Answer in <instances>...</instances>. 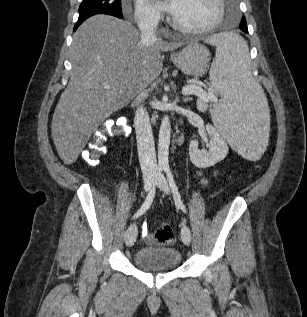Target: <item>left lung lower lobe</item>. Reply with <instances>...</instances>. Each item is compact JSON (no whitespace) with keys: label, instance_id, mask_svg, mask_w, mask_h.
Instances as JSON below:
<instances>
[{"label":"left lung lower lobe","instance_id":"obj_1","mask_svg":"<svg viewBox=\"0 0 307 317\" xmlns=\"http://www.w3.org/2000/svg\"><path fill=\"white\" fill-rule=\"evenodd\" d=\"M243 20L240 22V29L245 32V33H248V28H247V25H246V20L244 21V17H242Z\"/></svg>","mask_w":307,"mask_h":317}]
</instances>
